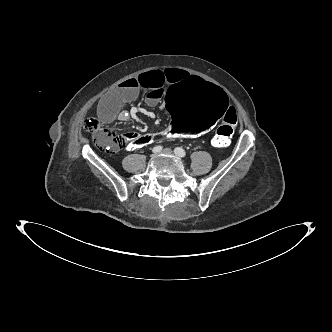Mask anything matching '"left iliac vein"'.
Here are the masks:
<instances>
[{"label": "left iliac vein", "instance_id": "4c4485c4", "mask_svg": "<svg viewBox=\"0 0 332 332\" xmlns=\"http://www.w3.org/2000/svg\"><path fill=\"white\" fill-rule=\"evenodd\" d=\"M161 153L172 155L173 151L171 149H169V148H165Z\"/></svg>", "mask_w": 332, "mask_h": 332}]
</instances>
